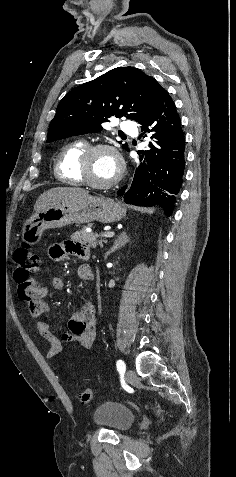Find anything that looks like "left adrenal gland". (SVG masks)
Returning a JSON list of instances; mask_svg holds the SVG:
<instances>
[{"label":"left adrenal gland","mask_w":236,"mask_h":477,"mask_svg":"<svg viewBox=\"0 0 236 477\" xmlns=\"http://www.w3.org/2000/svg\"><path fill=\"white\" fill-rule=\"evenodd\" d=\"M130 241L129 237L126 235V232H122L121 235L114 241L112 248L106 253V257L121 247L125 246Z\"/></svg>","instance_id":"obj_1"}]
</instances>
